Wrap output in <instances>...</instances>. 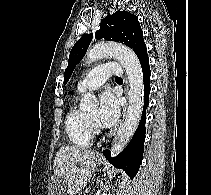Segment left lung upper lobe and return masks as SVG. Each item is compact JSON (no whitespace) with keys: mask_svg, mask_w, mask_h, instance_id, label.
Wrapping results in <instances>:
<instances>
[{"mask_svg":"<svg viewBox=\"0 0 211 195\" xmlns=\"http://www.w3.org/2000/svg\"><path fill=\"white\" fill-rule=\"evenodd\" d=\"M95 38L123 43L136 53L139 60L148 57L138 17L130 12L117 11L108 15L100 23ZM91 40L92 34H85L72 47L64 73V84L68 82L76 64L84 57Z\"/></svg>","mask_w":211,"mask_h":195,"instance_id":"left-lung-upper-lobe-1","label":"left lung upper lobe"}]
</instances>
